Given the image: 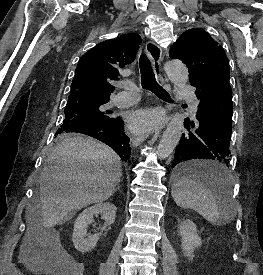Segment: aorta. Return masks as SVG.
Masks as SVG:
<instances>
[{
  "mask_svg": "<svg viewBox=\"0 0 263 275\" xmlns=\"http://www.w3.org/2000/svg\"><path fill=\"white\" fill-rule=\"evenodd\" d=\"M165 71L170 80L178 87L183 88L189 80L188 69L186 65L179 60L167 62ZM184 119L185 115L183 113H176L172 117L157 148V156L159 159H165L170 156L178 145L182 135Z\"/></svg>",
  "mask_w": 263,
  "mask_h": 275,
  "instance_id": "aorta-1",
  "label": "aorta"
}]
</instances>
